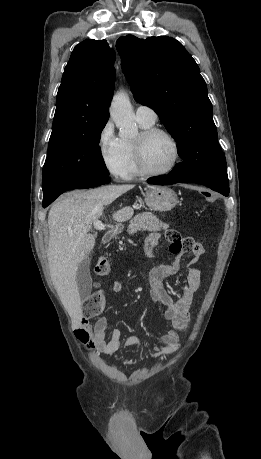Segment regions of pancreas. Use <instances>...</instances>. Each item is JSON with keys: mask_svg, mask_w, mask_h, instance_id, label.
I'll return each instance as SVG.
<instances>
[{"mask_svg": "<svg viewBox=\"0 0 261 459\" xmlns=\"http://www.w3.org/2000/svg\"><path fill=\"white\" fill-rule=\"evenodd\" d=\"M165 228H168V225L162 223L153 213L143 212L130 221L127 232L132 235L139 230L158 232Z\"/></svg>", "mask_w": 261, "mask_h": 459, "instance_id": "pancreas-1", "label": "pancreas"}]
</instances>
